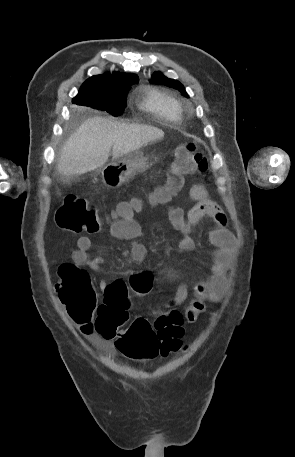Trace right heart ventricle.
Segmentation results:
<instances>
[{
  "label": "right heart ventricle",
  "instance_id": "right-heart-ventricle-1",
  "mask_svg": "<svg viewBox=\"0 0 295 457\" xmlns=\"http://www.w3.org/2000/svg\"><path fill=\"white\" fill-rule=\"evenodd\" d=\"M140 106L167 122H179L182 118L180 102L171 94L155 87H146L142 90Z\"/></svg>",
  "mask_w": 295,
  "mask_h": 457
}]
</instances>
